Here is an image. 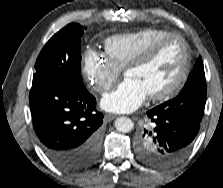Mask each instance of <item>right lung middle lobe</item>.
I'll return each mask as SVG.
<instances>
[{"label": "right lung middle lobe", "mask_w": 223, "mask_h": 188, "mask_svg": "<svg viewBox=\"0 0 223 188\" xmlns=\"http://www.w3.org/2000/svg\"><path fill=\"white\" fill-rule=\"evenodd\" d=\"M83 27L68 24L43 47L36 63L33 79L65 84L71 89L87 91L81 77V36Z\"/></svg>", "instance_id": "dd1d6c3e"}]
</instances>
